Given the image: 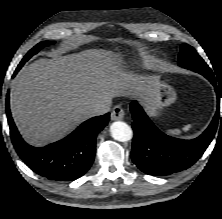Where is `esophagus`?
<instances>
[{
  "label": "esophagus",
  "instance_id": "34e87169",
  "mask_svg": "<svg viewBox=\"0 0 222 219\" xmlns=\"http://www.w3.org/2000/svg\"><path fill=\"white\" fill-rule=\"evenodd\" d=\"M125 116V111L119 105L115 106L111 113V119L114 121L123 120Z\"/></svg>",
  "mask_w": 222,
  "mask_h": 219
}]
</instances>
